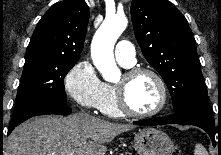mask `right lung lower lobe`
<instances>
[{
	"mask_svg": "<svg viewBox=\"0 0 221 155\" xmlns=\"http://www.w3.org/2000/svg\"><path fill=\"white\" fill-rule=\"evenodd\" d=\"M71 108L66 105V103H54V102H42L39 104L34 105L30 109L26 110L25 112L14 116L11 119L9 128H8V135L11 131L20 123L24 122L25 120L38 115L44 114H59V115H68L71 113Z\"/></svg>",
	"mask_w": 221,
	"mask_h": 155,
	"instance_id": "1",
	"label": "right lung lower lobe"
}]
</instances>
